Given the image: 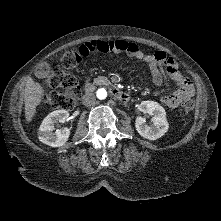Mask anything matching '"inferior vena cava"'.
<instances>
[{"instance_id": "602c4592", "label": "inferior vena cava", "mask_w": 221, "mask_h": 221, "mask_svg": "<svg viewBox=\"0 0 221 221\" xmlns=\"http://www.w3.org/2000/svg\"><path fill=\"white\" fill-rule=\"evenodd\" d=\"M96 97L93 93H86L82 98V103L85 106H92L95 104Z\"/></svg>"}]
</instances>
